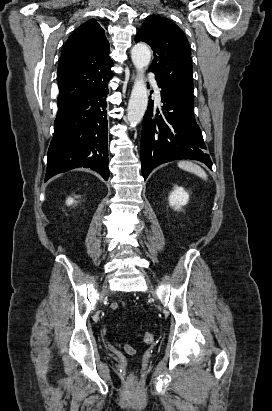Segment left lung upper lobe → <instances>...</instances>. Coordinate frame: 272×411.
Wrapping results in <instances>:
<instances>
[{"instance_id":"1","label":"left lung upper lobe","mask_w":272,"mask_h":411,"mask_svg":"<svg viewBox=\"0 0 272 411\" xmlns=\"http://www.w3.org/2000/svg\"><path fill=\"white\" fill-rule=\"evenodd\" d=\"M135 41L152 47L154 59L149 71L155 74L157 83L194 101L191 52L183 31L169 19L152 15Z\"/></svg>"}]
</instances>
